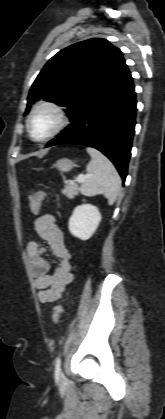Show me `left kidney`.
Listing matches in <instances>:
<instances>
[{
    "instance_id": "5707ae66",
    "label": "left kidney",
    "mask_w": 165,
    "mask_h": 419,
    "mask_svg": "<svg viewBox=\"0 0 165 419\" xmlns=\"http://www.w3.org/2000/svg\"><path fill=\"white\" fill-rule=\"evenodd\" d=\"M101 218L96 206L91 204L79 205L74 209L69 219V231L81 240H88L98 228Z\"/></svg>"
}]
</instances>
